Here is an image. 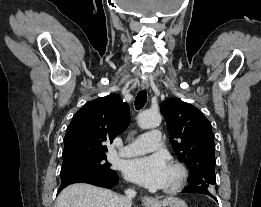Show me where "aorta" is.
<instances>
[{"mask_svg": "<svg viewBox=\"0 0 261 207\" xmlns=\"http://www.w3.org/2000/svg\"><path fill=\"white\" fill-rule=\"evenodd\" d=\"M161 120L160 113L153 111H144L137 117L138 125L142 129L156 128L160 125Z\"/></svg>", "mask_w": 261, "mask_h": 207, "instance_id": "1", "label": "aorta"}]
</instances>
